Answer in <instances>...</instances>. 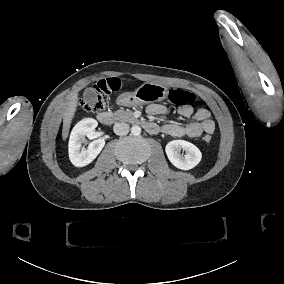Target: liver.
<instances>
[{"label":"liver","instance_id":"6515ba94","mask_svg":"<svg viewBox=\"0 0 284 284\" xmlns=\"http://www.w3.org/2000/svg\"><path fill=\"white\" fill-rule=\"evenodd\" d=\"M80 91L73 92L70 96L67 97L65 103V113L63 118V127H62V140L66 142L69 137L70 127L74 116L77 112V108L80 103Z\"/></svg>","mask_w":284,"mask_h":284}]
</instances>
